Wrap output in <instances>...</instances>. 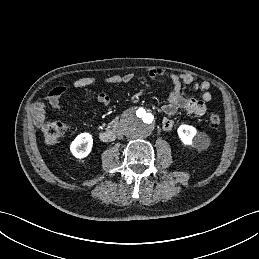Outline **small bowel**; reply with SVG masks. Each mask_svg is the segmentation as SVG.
Listing matches in <instances>:
<instances>
[{"instance_id":"c3829d8e","label":"small bowel","mask_w":259,"mask_h":259,"mask_svg":"<svg viewBox=\"0 0 259 259\" xmlns=\"http://www.w3.org/2000/svg\"><path fill=\"white\" fill-rule=\"evenodd\" d=\"M148 73L151 77L167 75L172 81V89L168 101L162 107V111L167 116L161 123L163 130L170 131L173 128L174 122L171 117L177 113L178 109H183L188 114L196 117H202L206 113L207 103L212 99V95L209 91L210 83L207 80L197 82L191 74L182 73L177 75L160 68L151 69ZM133 78V73H126L123 75L110 76L106 78L104 82L122 88L131 82ZM96 82L97 78L94 76L83 77L76 80L73 86L75 88H83L93 85ZM183 84L192 86L195 90L199 91L201 93L200 99L185 97L182 93ZM69 91L70 89L68 87L59 86L52 89L45 97L37 99L31 109L34 124L41 126L45 120L46 108L48 106L55 109L60 108L62 97L68 94ZM97 100L103 105H108L111 101V97L105 92H99L97 94Z\"/></svg>"}]
</instances>
